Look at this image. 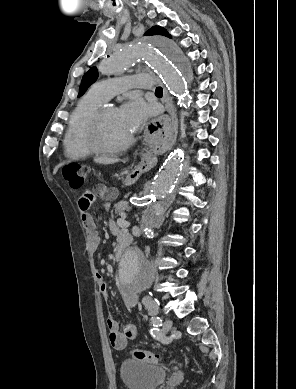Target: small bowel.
Instances as JSON below:
<instances>
[{
  "instance_id": "small-bowel-1",
  "label": "small bowel",
  "mask_w": 296,
  "mask_h": 389,
  "mask_svg": "<svg viewBox=\"0 0 296 389\" xmlns=\"http://www.w3.org/2000/svg\"><path fill=\"white\" fill-rule=\"evenodd\" d=\"M116 196L117 190L115 188L98 185L92 192L84 193L78 200L81 221L87 231L90 247L93 251L97 250L100 239L95 230L93 218L89 214L88 209L96 197L109 201L114 199ZM112 230L116 234L118 240L122 236L129 235L126 231L119 230L114 224L112 225ZM97 278L100 282V292L103 297L107 298L108 285L103 281L101 275L97 274ZM142 303L147 310L152 312L155 311V303L150 298H143ZM107 327L109 329V342L116 350L125 349L128 342L135 340L138 335L136 326L132 324H128L123 328V330H120L119 322L112 316L107 318Z\"/></svg>"
}]
</instances>
